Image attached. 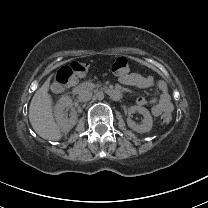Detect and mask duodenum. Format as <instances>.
Instances as JSON below:
<instances>
[{"label":"duodenum","mask_w":208,"mask_h":208,"mask_svg":"<svg viewBox=\"0 0 208 208\" xmlns=\"http://www.w3.org/2000/svg\"><path fill=\"white\" fill-rule=\"evenodd\" d=\"M90 86L86 83H82L77 85L73 91L75 94L82 93L83 91L87 90ZM108 95L114 100H120L122 98V93L116 89L109 88L106 90Z\"/></svg>","instance_id":"duodenum-1"}]
</instances>
